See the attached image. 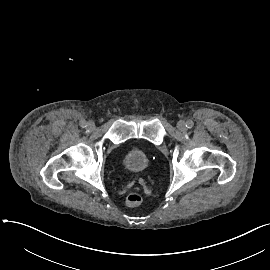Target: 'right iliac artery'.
<instances>
[{"mask_svg": "<svg viewBox=\"0 0 270 270\" xmlns=\"http://www.w3.org/2000/svg\"><path fill=\"white\" fill-rule=\"evenodd\" d=\"M80 126H81L82 128H85V127L87 126V122H86L85 120H81V121H80Z\"/></svg>", "mask_w": 270, "mask_h": 270, "instance_id": "82829eb1", "label": "right iliac artery"}]
</instances>
